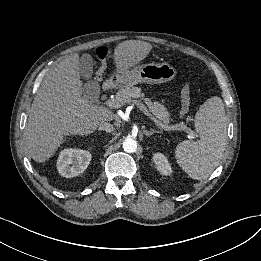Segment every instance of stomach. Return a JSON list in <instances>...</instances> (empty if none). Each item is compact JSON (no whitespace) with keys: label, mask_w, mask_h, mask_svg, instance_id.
Segmentation results:
<instances>
[{"label":"stomach","mask_w":261,"mask_h":261,"mask_svg":"<svg viewBox=\"0 0 261 261\" xmlns=\"http://www.w3.org/2000/svg\"><path fill=\"white\" fill-rule=\"evenodd\" d=\"M176 73V69L168 63H149L134 66L129 74L121 75L115 71L111 81L119 86H132L138 83L162 84L173 80Z\"/></svg>","instance_id":"stomach-1"}]
</instances>
